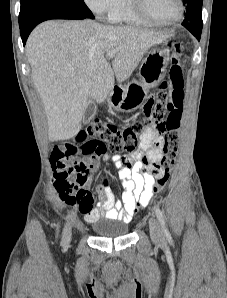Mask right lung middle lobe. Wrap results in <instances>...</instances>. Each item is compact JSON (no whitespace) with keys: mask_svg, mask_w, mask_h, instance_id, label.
I'll use <instances>...</instances> for the list:
<instances>
[{"mask_svg":"<svg viewBox=\"0 0 227 298\" xmlns=\"http://www.w3.org/2000/svg\"><path fill=\"white\" fill-rule=\"evenodd\" d=\"M49 12L94 18L83 0H21L19 26L24 25L37 15Z\"/></svg>","mask_w":227,"mask_h":298,"instance_id":"right-lung-middle-lobe-1","label":"right lung middle lobe"}]
</instances>
